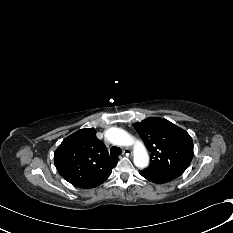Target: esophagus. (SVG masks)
Segmentation results:
<instances>
[{
	"label": "esophagus",
	"mask_w": 233,
	"mask_h": 233,
	"mask_svg": "<svg viewBox=\"0 0 233 233\" xmlns=\"http://www.w3.org/2000/svg\"><path fill=\"white\" fill-rule=\"evenodd\" d=\"M131 150L130 149H124L123 151V155L129 156L131 154Z\"/></svg>",
	"instance_id": "esophagus-1"
}]
</instances>
